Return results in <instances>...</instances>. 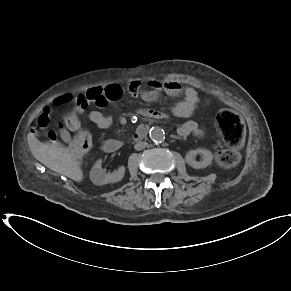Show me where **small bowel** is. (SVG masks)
Instances as JSON below:
<instances>
[{
	"label": "small bowel",
	"instance_id": "small-bowel-1",
	"mask_svg": "<svg viewBox=\"0 0 291 291\" xmlns=\"http://www.w3.org/2000/svg\"><path fill=\"white\" fill-rule=\"evenodd\" d=\"M148 88L144 89V85ZM131 96H140L145 102L152 103L159 100L162 93L171 97L183 95V100L177 102L173 108V114L179 118H189L197 107L199 98L197 92L191 87H184L177 81H159L146 80L142 76L132 77L126 87ZM124 95V88L119 83H108L105 85H95L86 88L77 95V111L82 113L88 105H93L96 109L89 113V119L100 129L104 130L111 126L112 119L103 114L100 110L109 102L118 101ZM138 114L143 117L155 120H167L169 115L163 112H150L146 109H140ZM50 118L47 112H43L36 120L33 134L45 130L49 126ZM70 129L60 131V137L63 141L69 143L72 136ZM180 136L201 135L202 130L194 120L185 121L178 129ZM52 139V141L56 140ZM51 140V139H50Z\"/></svg>",
	"mask_w": 291,
	"mask_h": 291
}]
</instances>
